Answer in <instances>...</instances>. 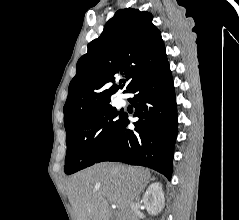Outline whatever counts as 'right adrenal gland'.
<instances>
[{
	"label": "right adrenal gland",
	"instance_id": "2a0ac1e0",
	"mask_svg": "<svg viewBox=\"0 0 239 220\" xmlns=\"http://www.w3.org/2000/svg\"><path fill=\"white\" fill-rule=\"evenodd\" d=\"M151 180H154V179H151ZM147 183H148V182H146L144 185L141 186V188H140V190H139V192H138V195H137V199H139V197H140L139 195H140L141 191L145 188V186L147 185Z\"/></svg>",
	"mask_w": 239,
	"mask_h": 220
}]
</instances>
